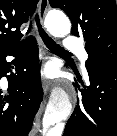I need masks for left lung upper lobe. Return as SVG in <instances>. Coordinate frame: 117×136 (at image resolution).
Segmentation results:
<instances>
[{
  "label": "left lung upper lobe",
  "mask_w": 117,
  "mask_h": 136,
  "mask_svg": "<svg viewBox=\"0 0 117 136\" xmlns=\"http://www.w3.org/2000/svg\"><path fill=\"white\" fill-rule=\"evenodd\" d=\"M72 22L71 33L83 36L86 66L95 61L117 62V9L115 0H49Z\"/></svg>",
  "instance_id": "1"
}]
</instances>
